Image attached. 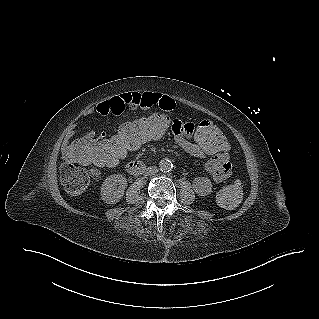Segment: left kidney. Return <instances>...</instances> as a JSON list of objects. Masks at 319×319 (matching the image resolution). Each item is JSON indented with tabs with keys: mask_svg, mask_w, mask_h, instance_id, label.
Segmentation results:
<instances>
[{
	"mask_svg": "<svg viewBox=\"0 0 319 319\" xmlns=\"http://www.w3.org/2000/svg\"><path fill=\"white\" fill-rule=\"evenodd\" d=\"M193 187L199 196H206L212 192V184L210 179L207 177L195 178L193 181Z\"/></svg>",
	"mask_w": 319,
	"mask_h": 319,
	"instance_id": "5707ae66",
	"label": "left kidney"
}]
</instances>
